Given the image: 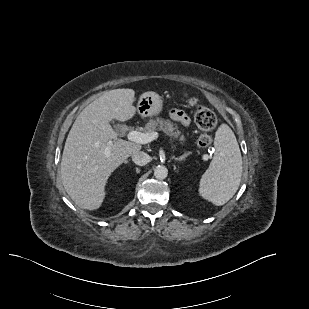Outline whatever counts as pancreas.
I'll list each match as a JSON object with an SVG mask.
<instances>
[{"mask_svg": "<svg viewBox=\"0 0 309 309\" xmlns=\"http://www.w3.org/2000/svg\"><path fill=\"white\" fill-rule=\"evenodd\" d=\"M155 130L163 131L166 135L173 139H179L180 143H183L186 138L181 131L178 130V127L175 126L170 120H165L162 118L150 119L148 123L143 128V132L150 133Z\"/></svg>", "mask_w": 309, "mask_h": 309, "instance_id": "obj_1", "label": "pancreas"}]
</instances>
